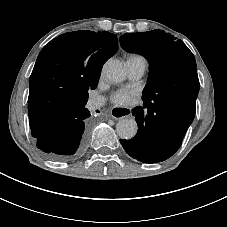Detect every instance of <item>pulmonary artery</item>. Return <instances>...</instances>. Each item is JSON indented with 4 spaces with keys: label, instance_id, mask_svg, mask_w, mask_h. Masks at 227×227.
<instances>
[{
    "label": "pulmonary artery",
    "instance_id": "e3ab8cb5",
    "mask_svg": "<svg viewBox=\"0 0 227 227\" xmlns=\"http://www.w3.org/2000/svg\"><path fill=\"white\" fill-rule=\"evenodd\" d=\"M128 77L131 80H137L141 78L146 70V62L139 60L128 59L126 62ZM105 98L103 96H97L90 100V108L96 109L104 105Z\"/></svg>",
    "mask_w": 227,
    "mask_h": 227
}]
</instances>
